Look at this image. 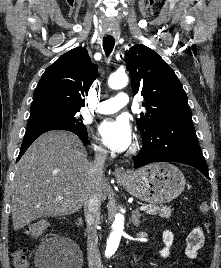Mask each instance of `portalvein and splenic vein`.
<instances>
[{"label": "portal vein and splenic vein", "mask_w": 221, "mask_h": 268, "mask_svg": "<svg viewBox=\"0 0 221 268\" xmlns=\"http://www.w3.org/2000/svg\"><path fill=\"white\" fill-rule=\"evenodd\" d=\"M58 199L61 200L62 198L59 197ZM139 209H140L141 211H146V210H148V206H141Z\"/></svg>", "instance_id": "18ae733b"}]
</instances>
